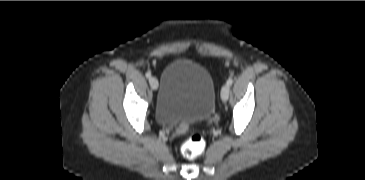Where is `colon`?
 Masks as SVG:
<instances>
[{"instance_id": "5ec220e1", "label": "colon", "mask_w": 365, "mask_h": 180, "mask_svg": "<svg viewBox=\"0 0 365 180\" xmlns=\"http://www.w3.org/2000/svg\"><path fill=\"white\" fill-rule=\"evenodd\" d=\"M206 147L205 140L198 134L190 136L181 145V153L188 159L199 157Z\"/></svg>"}]
</instances>
